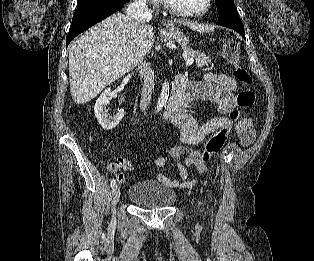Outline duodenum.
<instances>
[{
    "label": "duodenum",
    "instance_id": "obj_1",
    "mask_svg": "<svg viewBox=\"0 0 314 261\" xmlns=\"http://www.w3.org/2000/svg\"><path fill=\"white\" fill-rule=\"evenodd\" d=\"M193 98L194 94L186 86L185 76H177L173 84L172 95L163 113V118L173 119Z\"/></svg>",
    "mask_w": 314,
    "mask_h": 261
}]
</instances>
